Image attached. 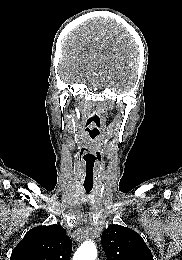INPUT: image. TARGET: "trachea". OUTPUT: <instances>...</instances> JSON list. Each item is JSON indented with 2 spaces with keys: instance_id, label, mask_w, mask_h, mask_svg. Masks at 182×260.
Instances as JSON below:
<instances>
[{
  "instance_id": "obj_1",
  "label": "trachea",
  "mask_w": 182,
  "mask_h": 260,
  "mask_svg": "<svg viewBox=\"0 0 182 260\" xmlns=\"http://www.w3.org/2000/svg\"><path fill=\"white\" fill-rule=\"evenodd\" d=\"M84 188H85L86 193H90V191L92 190V187L84 186Z\"/></svg>"
}]
</instances>
